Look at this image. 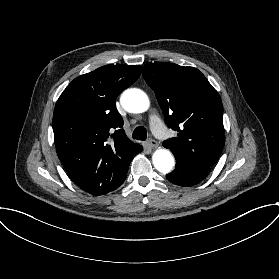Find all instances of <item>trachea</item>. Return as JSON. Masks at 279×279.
Here are the masks:
<instances>
[{
	"label": "trachea",
	"mask_w": 279,
	"mask_h": 279,
	"mask_svg": "<svg viewBox=\"0 0 279 279\" xmlns=\"http://www.w3.org/2000/svg\"><path fill=\"white\" fill-rule=\"evenodd\" d=\"M147 137V131L144 127H137L133 131V138L137 140H146Z\"/></svg>",
	"instance_id": "3493384b"
}]
</instances>
